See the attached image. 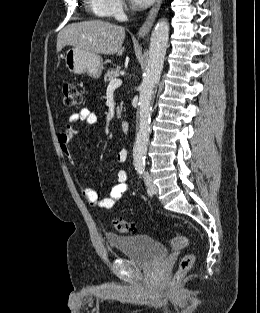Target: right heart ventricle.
<instances>
[{
  "instance_id": "obj_1",
  "label": "right heart ventricle",
  "mask_w": 260,
  "mask_h": 313,
  "mask_svg": "<svg viewBox=\"0 0 260 313\" xmlns=\"http://www.w3.org/2000/svg\"><path fill=\"white\" fill-rule=\"evenodd\" d=\"M88 7L99 16H103L101 12V1L100 0H86Z\"/></svg>"
}]
</instances>
